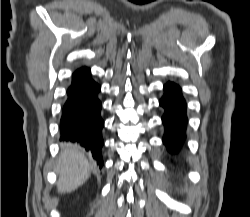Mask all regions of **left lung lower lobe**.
<instances>
[{"instance_id":"0a47b994","label":"left lung lower lobe","mask_w":250,"mask_h":217,"mask_svg":"<svg viewBox=\"0 0 250 217\" xmlns=\"http://www.w3.org/2000/svg\"><path fill=\"white\" fill-rule=\"evenodd\" d=\"M165 93L159 104L164 107L162 121L165 127L163 142L170 153H177L186 137V104L181 88L168 82L164 86Z\"/></svg>"}]
</instances>
